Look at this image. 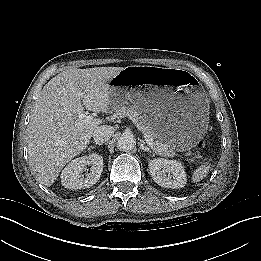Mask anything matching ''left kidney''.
Instances as JSON below:
<instances>
[{"label": "left kidney", "mask_w": 261, "mask_h": 261, "mask_svg": "<svg viewBox=\"0 0 261 261\" xmlns=\"http://www.w3.org/2000/svg\"><path fill=\"white\" fill-rule=\"evenodd\" d=\"M148 166L152 179L158 185L172 189L186 185V172L180 161L157 158L151 160Z\"/></svg>", "instance_id": "1"}]
</instances>
